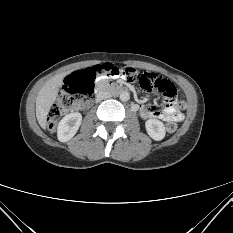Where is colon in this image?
<instances>
[{
    "mask_svg": "<svg viewBox=\"0 0 233 233\" xmlns=\"http://www.w3.org/2000/svg\"><path fill=\"white\" fill-rule=\"evenodd\" d=\"M122 76L128 81L138 83L144 90L149 91L153 88L161 91L165 96H171L175 93L174 85L155 74L142 73L133 69H119L110 64L95 66L94 68L82 70L69 75L63 84V91L58 95L57 100L49 110L47 124L49 130L53 131L58 120L73 105H84L89 103L93 97L94 79L97 75ZM180 108H184V104H179ZM168 132H174L177 129L175 123H167Z\"/></svg>",
    "mask_w": 233,
    "mask_h": 233,
    "instance_id": "5ec220e1",
    "label": "colon"
}]
</instances>
